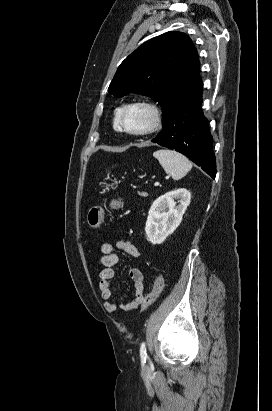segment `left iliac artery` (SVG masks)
<instances>
[{"label": "left iliac artery", "instance_id": "44dca946", "mask_svg": "<svg viewBox=\"0 0 272 411\" xmlns=\"http://www.w3.org/2000/svg\"><path fill=\"white\" fill-rule=\"evenodd\" d=\"M140 357L142 362H146L147 353H146V344L143 342L140 346Z\"/></svg>", "mask_w": 272, "mask_h": 411}]
</instances>
